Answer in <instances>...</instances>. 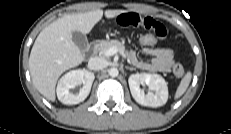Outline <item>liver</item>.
<instances>
[{
    "label": "liver",
    "mask_w": 231,
    "mask_h": 134,
    "mask_svg": "<svg viewBox=\"0 0 231 134\" xmlns=\"http://www.w3.org/2000/svg\"><path fill=\"white\" fill-rule=\"evenodd\" d=\"M124 12L97 9L67 14L45 27L37 36L29 57V70L37 91L48 100L55 101V86L59 76L84 61V55L72 40V32L88 34L103 14L111 19Z\"/></svg>",
    "instance_id": "6515ba94"
}]
</instances>
